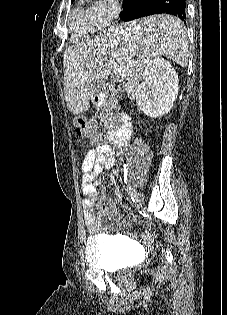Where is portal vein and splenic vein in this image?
I'll list each match as a JSON object with an SVG mask.
<instances>
[{
  "label": "portal vein and splenic vein",
  "instance_id": "portal-vein-and-splenic-vein-1",
  "mask_svg": "<svg viewBox=\"0 0 227 315\" xmlns=\"http://www.w3.org/2000/svg\"><path fill=\"white\" fill-rule=\"evenodd\" d=\"M111 64V71L115 74L117 78H125L126 77V69H122L118 67L115 63L110 62Z\"/></svg>",
  "mask_w": 227,
  "mask_h": 315
}]
</instances>
